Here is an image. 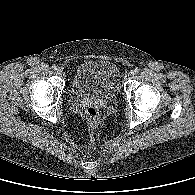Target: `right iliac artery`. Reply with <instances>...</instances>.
I'll return each mask as SVG.
<instances>
[{
	"instance_id": "82829eb1",
	"label": "right iliac artery",
	"mask_w": 195,
	"mask_h": 195,
	"mask_svg": "<svg viewBox=\"0 0 195 195\" xmlns=\"http://www.w3.org/2000/svg\"><path fill=\"white\" fill-rule=\"evenodd\" d=\"M52 69L55 70L56 69V66L55 65H52Z\"/></svg>"
}]
</instances>
